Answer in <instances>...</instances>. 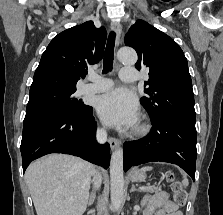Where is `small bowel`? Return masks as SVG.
Instances as JSON below:
<instances>
[{
	"label": "small bowel",
	"mask_w": 223,
	"mask_h": 215,
	"mask_svg": "<svg viewBox=\"0 0 223 215\" xmlns=\"http://www.w3.org/2000/svg\"><path fill=\"white\" fill-rule=\"evenodd\" d=\"M145 215H183L166 191H159L148 198Z\"/></svg>",
	"instance_id": "1"
}]
</instances>
